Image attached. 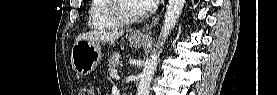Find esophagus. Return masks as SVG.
Instances as JSON below:
<instances>
[{"mask_svg": "<svg viewBox=\"0 0 277 95\" xmlns=\"http://www.w3.org/2000/svg\"><path fill=\"white\" fill-rule=\"evenodd\" d=\"M159 22V15L152 19V21L146 25V27L140 31H138L135 35L138 38H146L147 33L151 30Z\"/></svg>", "mask_w": 277, "mask_h": 95, "instance_id": "34e87169", "label": "esophagus"}]
</instances>
